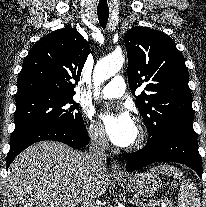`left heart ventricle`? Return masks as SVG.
<instances>
[{
    "mask_svg": "<svg viewBox=\"0 0 206 207\" xmlns=\"http://www.w3.org/2000/svg\"><path fill=\"white\" fill-rule=\"evenodd\" d=\"M136 136H137V130H136V135H135V139H136Z\"/></svg>",
    "mask_w": 206,
    "mask_h": 207,
    "instance_id": "1",
    "label": "left heart ventricle"
}]
</instances>
